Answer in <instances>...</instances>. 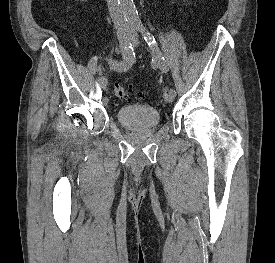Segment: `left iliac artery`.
Returning a JSON list of instances; mask_svg holds the SVG:
<instances>
[{"mask_svg":"<svg viewBox=\"0 0 275 263\" xmlns=\"http://www.w3.org/2000/svg\"><path fill=\"white\" fill-rule=\"evenodd\" d=\"M138 31L142 33L144 40L150 47L153 65L159 66L160 70L166 73L168 71V65L154 36L143 26L138 27ZM169 92L176 94L174 89H170Z\"/></svg>","mask_w":275,"mask_h":263,"instance_id":"44dca946","label":"left iliac artery"}]
</instances>
